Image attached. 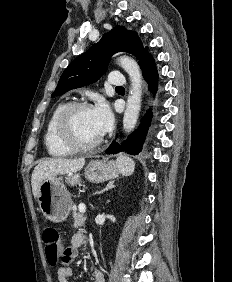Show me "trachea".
Returning <instances> with one entry per match:
<instances>
[{
    "label": "trachea",
    "instance_id": "3493384b",
    "mask_svg": "<svg viewBox=\"0 0 232 282\" xmlns=\"http://www.w3.org/2000/svg\"><path fill=\"white\" fill-rule=\"evenodd\" d=\"M116 88H117V89H123V87H121V86H117Z\"/></svg>",
    "mask_w": 232,
    "mask_h": 282
}]
</instances>
